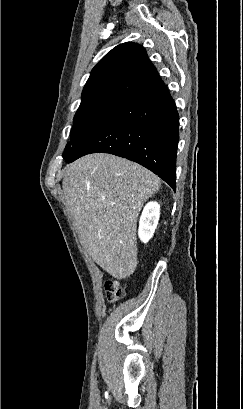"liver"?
<instances>
[{"instance_id": "1", "label": "liver", "mask_w": 243, "mask_h": 409, "mask_svg": "<svg viewBox=\"0 0 243 409\" xmlns=\"http://www.w3.org/2000/svg\"><path fill=\"white\" fill-rule=\"evenodd\" d=\"M62 187L89 255L114 278L130 276L137 265L138 215L160 179L127 159L94 153L64 168Z\"/></svg>"}]
</instances>
